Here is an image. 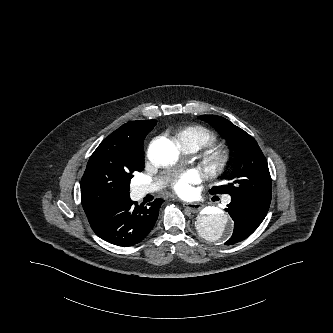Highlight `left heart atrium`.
Listing matches in <instances>:
<instances>
[{
    "label": "left heart atrium",
    "mask_w": 333,
    "mask_h": 333,
    "mask_svg": "<svg viewBox=\"0 0 333 333\" xmlns=\"http://www.w3.org/2000/svg\"><path fill=\"white\" fill-rule=\"evenodd\" d=\"M200 179V173L195 169H190L174 178L171 187L179 196L188 197L193 193V185Z\"/></svg>",
    "instance_id": "1"
}]
</instances>
